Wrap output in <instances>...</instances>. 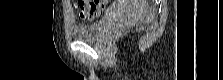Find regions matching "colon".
<instances>
[{"label": "colon", "mask_w": 223, "mask_h": 80, "mask_svg": "<svg viewBox=\"0 0 223 80\" xmlns=\"http://www.w3.org/2000/svg\"><path fill=\"white\" fill-rule=\"evenodd\" d=\"M104 1H77L76 8L83 18L92 17L96 12L100 13L103 10L102 3Z\"/></svg>", "instance_id": "obj_1"}]
</instances>
